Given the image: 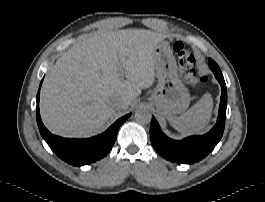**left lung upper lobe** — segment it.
Listing matches in <instances>:
<instances>
[{"label": "left lung upper lobe", "mask_w": 265, "mask_h": 202, "mask_svg": "<svg viewBox=\"0 0 265 202\" xmlns=\"http://www.w3.org/2000/svg\"><path fill=\"white\" fill-rule=\"evenodd\" d=\"M210 59V58H209ZM212 60V59H211ZM213 61V60H212ZM213 65L215 66L216 65V63L213 61Z\"/></svg>", "instance_id": "5c2ea615"}]
</instances>
